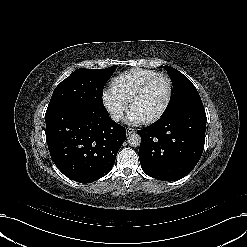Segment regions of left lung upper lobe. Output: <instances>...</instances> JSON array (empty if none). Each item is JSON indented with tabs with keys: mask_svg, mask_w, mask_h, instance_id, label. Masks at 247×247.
Returning a JSON list of instances; mask_svg holds the SVG:
<instances>
[{
	"mask_svg": "<svg viewBox=\"0 0 247 247\" xmlns=\"http://www.w3.org/2000/svg\"><path fill=\"white\" fill-rule=\"evenodd\" d=\"M162 67L168 72L174 89L173 101L165 116L173 115L189 105L201 102L196 87L186 76L171 66Z\"/></svg>",
	"mask_w": 247,
	"mask_h": 247,
	"instance_id": "5c2ea615",
	"label": "left lung upper lobe"
}]
</instances>
